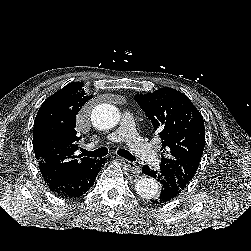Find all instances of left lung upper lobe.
<instances>
[{
    "instance_id": "1",
    "label": "left lung upper lobe",
    "mask_w": 251,
    "mask_h": 251,
    "mask_svg": "<svg viewBox=\"0 0 251 251\" xmlns=\"http://www.w3.org/2000/svg\"><path fill=\"white\" fill-rule=\"evenodd\" d=\"M135 101L159 131L162 142L160 166L186 182L194 177L205 145L201 113L180 91L164 87L154 93L135 95Z\"/></svg>"
}]
</instances>
